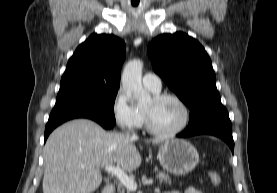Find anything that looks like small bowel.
Returning a JSON list of instances; mask_svg holds the SVG:
<instances>
[{"instance_id":"obj_1","label":"small bowel","mask_w":277,"mask_h":193,"mask_svg":"<svg viewBox=\"0 0 277 193\" xmlns=\"http://www.w3.org/2000/svg\"><path fill=\"white\" fill-rule=\"evenodd\" d=\"M164 193H203V192L193 186H190V187L186 188L183 192L177 191V190H170V191H166Z\"/></svg>"}]
</instances>
